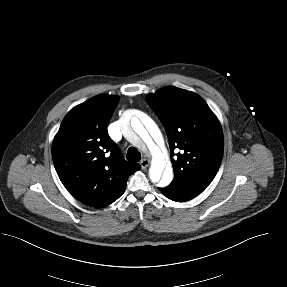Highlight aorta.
Listing matches in <instances>:
<instances>
[{
  "label": "aorta",
  "instance_id": "obj_1",
  "mask_svg": "<svg viewBox=\"0 0 287 287\" xmlns=\"http://www.w3.org/2000/svg\"><path fill=\"white\" fill-rule=\"evenodd\" d=\"M141 118L142 123L146 129L137 117H132L131 126L133 130L145 142L151 152L152 163L149 169V176L151 181L158 183L162 187H165L169 185L173 180V169L170 162L165 160V157L162 154L160 148L154 143V141H162V134L157 124L149 116L143 114Z\"/></svg>",
  "mask_w": 287,
  "mask_h": 287
}]
</instances>
